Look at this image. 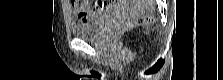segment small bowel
I'll return each instance as SVG.
<instances>
[{"instance_id": "obj_1", "label": "small bowel", "mask_w": 223, "mask_h": 80, "mask_svg": "<svg viewBox=\"0 0 223 80\" xmlns=\"http://www.w3.org/2000/svg\"><path fill=\"white\" fill-rule=\"evenodd\" d=\"M113 7L110 2H97L93 8H90L88 3H78L72 1V9L74 14L83 21L98 17L104 12L109 11Z\"/></svg>"}]
</instances>
